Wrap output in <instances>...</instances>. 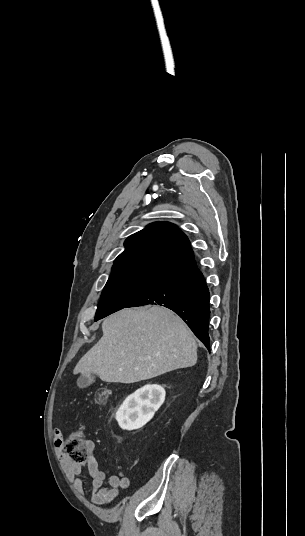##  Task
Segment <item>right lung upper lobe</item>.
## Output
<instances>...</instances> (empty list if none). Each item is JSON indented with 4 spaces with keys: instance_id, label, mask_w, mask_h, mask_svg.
Segmentation results:
<instances>
[{
    "instance_id": "cb5924a9",
    "label": "right lung upper lobe",
    "mask_w": 305,
    "mask_h": 536,
    "mask_svg": "<svg viewBox=\"0 0 305 536\" xmlns=\"http://www.w3.org/2000/svg\"><path fill=\"white\" fill-rule=\"evenodd\" d=\"M112 275L168 276L196 264L187 236L169 222H154L128 237Z\"/></svg>"
}]
</instances>
